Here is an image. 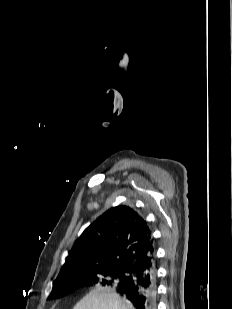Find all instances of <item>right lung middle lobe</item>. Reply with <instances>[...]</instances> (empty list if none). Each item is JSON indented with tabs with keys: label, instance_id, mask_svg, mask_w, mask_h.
I'll return each mask as SVG.
<instances>
[{
	"label": "right lung middle lobe",
	"instance_id": "right-lung-middle-lobe-1",
	"mask_svg": "<svg viewBox=\"0 0 232 309\" xmlns=\"http://www.w3.org/2000/svg\"><path fill=\"white\" fill-rule=\"evenodd\" d=\"M127 280V272L123 270H97L84 273L70 281L53 285L52 297L61 298L80 286L96 285L118 287Z\"/></svg>",
	"mask_w": 232,
	"mask_h": 309
}]
</instances>
